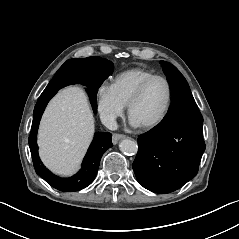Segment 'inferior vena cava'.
<instances>
[{"label":"inferior vena cava","instance_id":"1","mask_svg":"<svg viewBox=\"0 0 239 239\" xmlns=\"http://www.w3.org/2000/svg\"><path fill=\"white\" fill-rule=\"evenodd\" d=\"M101 122L111 131H116L118 128L115 121V116H103L101 117Z\"/></svg>","mask_w":239,"mask_h":239}]
</instances>
